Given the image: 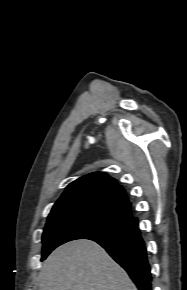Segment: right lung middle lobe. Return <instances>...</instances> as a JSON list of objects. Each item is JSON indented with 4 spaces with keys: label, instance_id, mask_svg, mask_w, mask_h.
Wrapping results in <instances>:
<instances>
[{
    "label": "right lung middle lobe",
    "instance_id": "1",
    "mask_svg": "<svg viewBox=\"0 0 187 290\" xmlns=\"http://www.w3.org/2000/svg\"><path fill=\"white\" fill-rule=\"evenodd\" d=\"M133 224L115 212L99 207H78L49 215L43 236L44 260L59 245L76 239L119 231Z\"/></svg>",
    "mask_w": 187,
    "mask_h": 290
}]
</instances>
